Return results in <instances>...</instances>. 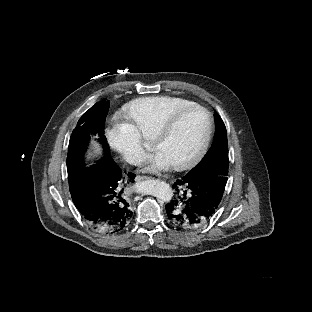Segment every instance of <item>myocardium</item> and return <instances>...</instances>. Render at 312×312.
I'll list each match as a JSON object with an SVG mask.
<instances>
[{"label": "myocardium", "instance_id": "myocardium-1", "mask_svg": "<svg viewBox=\"0 0 312 312\" xmlns=\"http://www.w3.org/2000/svg\"><path fill=\"white\" fill-rule=\"evenodd\" d=\"M184 116H194L200 119V130H201V144L200 148L196 150L186 160L176 161L171 165L173 172H183L184 170L193 167L196 162L203 160L205 156L209 154L211 148V138L215 131V122L213 114L210 110L201 104L188 105L178 107L176 110H172L166 116L165 121L161 124V130L159 135L156 136L155 141L157 144L162 145L165 143L167 136L170 135L173 124L178 120H181Z\"/></svg>", "mask_w": 312, "mask_h": 312}]
</instances>
